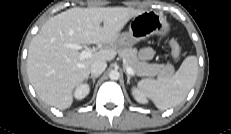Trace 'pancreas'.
<instances>
[{"label":"pancreas","instance_id":"obj_1","mask_svg":"<svg viewBox=\"0 0 231 134\" xmlns=\"http://www.w3.org/2000/svg\"><path fill=\"white\" fill-rule=\"evenodd\" d=\"M119 56L124 60V66L131 67L138 76H147L158 78L173 75L175 69L170 63L156 64L147 63L138 60L137 49L126 47L118 50Z\"/></svg>","mask_w":231,"mask_h":134}]
</instances>
